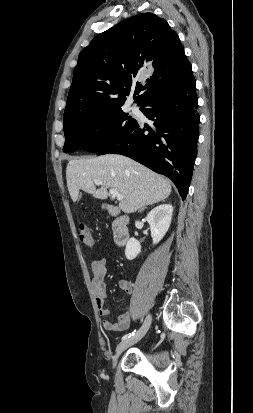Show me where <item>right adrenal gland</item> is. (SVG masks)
<instances>
[{"mask_svg":"<svg viewBox=\"0 0 253 413\" xmlns=\"http://www.w3.org/2000/svg\"><path fill=\"white\" fill-rule=\"evenodd\" d=\"M144 209H145V207H144V208H141V209L139 210V212H142Z\"/></svg>","mask_w":253,"mask_h":413,"instance_id":"1","label":"right adrenal gland"}]
</instances>
